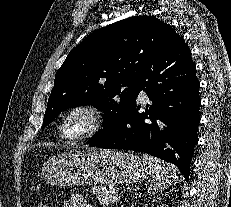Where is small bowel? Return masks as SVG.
<instances>
[{
	"instance_id": "small-bowel-1",
	"label": "small bowel",
	"mask_w": 231,
	"mask_h": 207,
	"mask_svg": "<svg viewBox=\"0 0 231 207\" xmlns=\"http://www.w3.org/2000/svg\"><path fill=\"white\" fill-rule=\"evenodd\" d=\"M62 207H94L81 195H73L67 199Z\"/></svg>"
}]
</instances>
